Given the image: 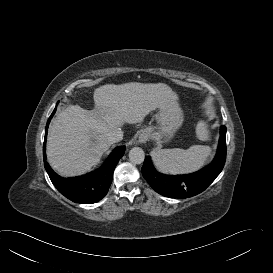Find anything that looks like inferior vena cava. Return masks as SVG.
<instances>
[{"label":"inferior vena cava","mask_w":273,"mask_h":273,"mask_svg":"<svg viewBox=\"0 0 273 273\" xmlns=\"http://www.w3.org/2000/svg\"><path fill=\"white\" fill-rule=\"evenodd\" d=\"M109 140L112 142V143H116V142H119L122 140L123 138V132L121 131L120 128L118 129H115L114 131H112L110 134H109Z\"/></svg>","instance_id":"602c4592"}]
</instances>
